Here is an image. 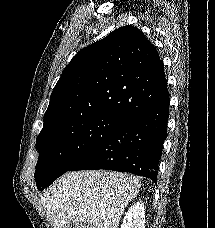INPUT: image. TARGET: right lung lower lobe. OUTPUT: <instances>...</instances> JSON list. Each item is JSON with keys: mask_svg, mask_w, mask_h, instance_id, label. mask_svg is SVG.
<instances>
[{"mask_svg": "<svg viewBox=\"0 0 215 228\" xmlns=\"http://www.w3.org/2000/svg\"><path fill=\"white\" fill-rule=\"evenodd\" d=\"M165 85L167 87L166 81ZM168 118L169 95L126 117L68 171L105 169L129 172L157 184Z\"/></svg>", "mask_w": 215, "mask_h": 228, "instance_id": "obj_1", "label": "right lung lower lobe"}]
</instances>
